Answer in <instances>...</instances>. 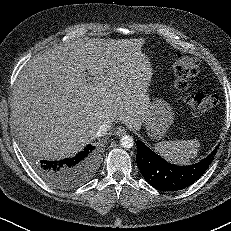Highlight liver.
<instances>
[{
    "instance_id": "1",
    "label": "liver",
    "mask_w": 231,
    "mask_h": 231,
    "mask_svg": "<svg viewBox=\"0 0 231 231\" xmlns=\"http://www.w3.org/2000/svg\"><path fill=\"white\" fill-rule=\"evenodd\" d=\"M144 38H78L30 60L13 91L12 118L26 147L46 160L74 156L104 123L139 129L151 105Z\"/></svg>"
}]
</instances>
